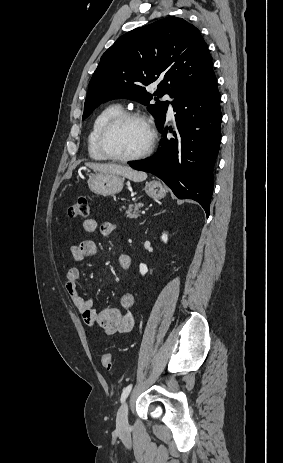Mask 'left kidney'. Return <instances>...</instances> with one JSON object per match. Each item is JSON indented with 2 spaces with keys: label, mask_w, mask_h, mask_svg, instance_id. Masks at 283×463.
<instances>
[{
  "label": "left kidney",
  "mask_w": 283,
  "mask_h": 463,
  "mask_svg": "<svg viewBox=\"0 0 283 463\" xmlns=\"http://www.w3.org/2000/svg\"><path fill=\"white\" fill-rule=\"evenodd\" d=\"M161 240H162L164 243H167V241H168V235H167L166 233H163L162 236H161ZM139 269H140L141 275H145V274L148 272V268H147V265H146V264L141 263L140 266H139Z\"/></svg>",
  "instance_id": "obj_1"
}]
</instances>
